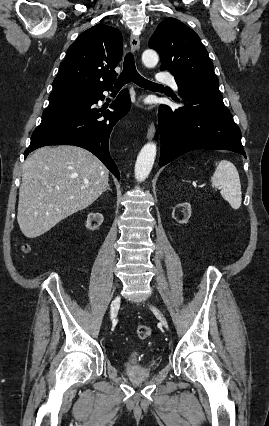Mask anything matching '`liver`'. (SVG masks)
<instances>
[{
	"label": "liver",
	"mask_w": 269,
	"mask_h": 426,
	"mask_svg": "<svg viewBox=\"0 0 269 426\" xmlns=\"http://www.w3.org/2000/svg\"><path fill=\"white\" fill-rule=\"evenodd\" d=\"M109 171L89 151L71 145L42 147L24 162L17 221L27 238L48 232L90 206L106 190Z\"/></svg>",
	"instance_id": "1"
}]
</instances>
